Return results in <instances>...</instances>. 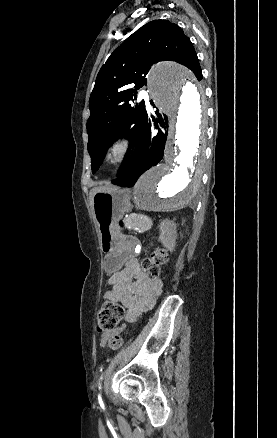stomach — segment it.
<instances>
[{"label": "stomach", "instance_id": "1", "mask_svg": "<svg viewBox=\"0 0 277 438\" xmlns=\"http://www.w3.org/2000/svg\"><path fill=\"white\" fill-rule=\"evenodd\" d=\"M92 201L100 249L105 253L104 268L114 273L128 260L133 246L132 240L117 229L118 222L132 208L130 195L126 189L113 187L95 193Z\"/></svg>", "mask_w": 277, "mask_h": 438}]
</instances>
